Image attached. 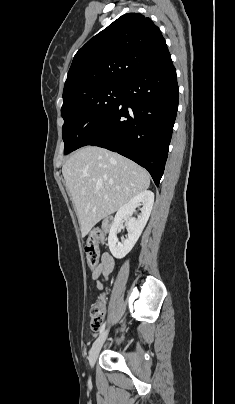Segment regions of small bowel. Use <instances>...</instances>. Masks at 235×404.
Returning <instances> with one entry per match:
<instances>
[{"label": "small bowel", "instance_id": "c3829d8e", "mask_svg": "<svg viewBox=\"0 0 235 404\" xmlns=\"http://www.w3.org/2000/svg\"><path fill=\"white\" fill-rule=\"evenodd\" d=\"M114 267L113 257L109 253H103L101 261L97 267L91 272V279L96 281V289L101 290L103 287V281L112 272Z\"/></svg>", "mask_w": 235, "mask_h": 404}]
</instances>
